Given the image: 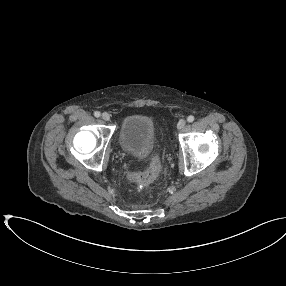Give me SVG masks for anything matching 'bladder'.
Instances as JSON below:
<instances>
[{
    "label": "bladder",
    "mask_w": 286,
    "mask_h": 286,
    "mask_svg": "<svg viewBox=\"0 0 286 286\" xmlns=\"http://www.w3.org/2000/svg\"><path fill=\"white\" fill-rule=\"evenodd\" d=\"M156 142L153 120L145 115H131L123 119L119 132L121 151L139 159L146 158Z\"/></svg>",
    "instance_id": "1"
}]
</instances>
